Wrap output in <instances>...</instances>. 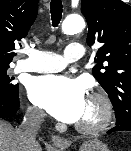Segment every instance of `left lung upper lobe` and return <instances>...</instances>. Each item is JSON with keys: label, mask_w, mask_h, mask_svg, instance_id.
I'll return each mask as SVG.
<instances>
[{"label": "left lung upper lobe", "mask_w": 131, "mask_h": 151, "mask_svg": "<svg viewBox=\"0 0 131 151\" xmlns=\"http://www.w3.org/2000/svg\"><path fill=\"white\" fill-rule=\"evenodd\" d=\"M87 44L100 43L92 73L108 93L116 123L131 119V6L121 0H82Z\"/></svg>", "instance_id": "left-lung-upper-lobe-1"}]
</instances>
